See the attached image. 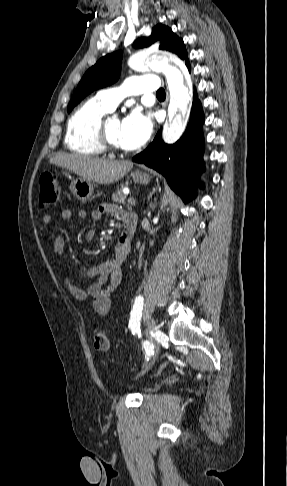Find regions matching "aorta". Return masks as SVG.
I'll return each mask as SVG.
<instances>
[{"mask_svg":"<svg viewBox=\"0 0 287 486\" xmlns=\"http://www.w3.org/2000/svg\"><path fill=\"white\" fill-rule=\"evenodd\" d=\"M128 64L133 70H140L146 66L161 71L166 76L170 103L163 139L166 143L176 142L184 132L190 111L191 82L185 66L175 57L159 54L148 57L134 56Z\"/></svg>","mask_w":287,"mask_h":486,"instance_id":"762f6f07","label":"aorta"}]
</instances>
